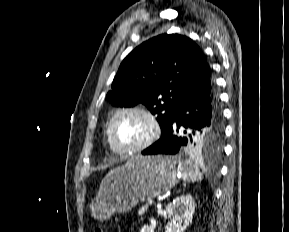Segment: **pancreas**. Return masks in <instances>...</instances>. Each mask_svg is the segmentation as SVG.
<instances>
[{
  "label": "pancreas",
  "mask_w": 289,
  "mask_h": 232,
  "mask_svg": "<svg viewBox=\"0 0 289 232\" xmlns=\"http://www.w3.org/2000/svg\"><path fill=\"white\" fill-rule=\"evenodd\" d=\"M146 210H147V206L140 208L138 211L139 215H143L146 212Z\"/></svg>",
  "instance_id": "pancreas-1"
}]
</instances>
